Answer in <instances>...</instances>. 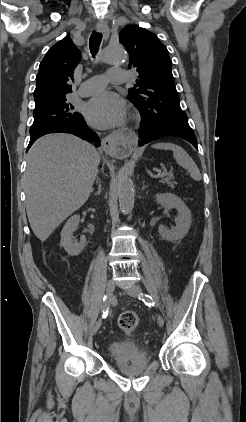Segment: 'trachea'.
Instances as JSON below:
<instances>
[{
    "label": "trachea",
    "mask_w": 246,
    "mask_h": 422,
    "mask_svg": "<svg viewBox=\"0 0 246 422\" xmlns=\"http://www.w3.org/2000/svg\"><path fill=\"white\" fill-rule=\"evenodd\" d=\"M101 40H102V34L99 32L93 31L89 40V47L93 56L98 52L100 44H101Z\"/></svg>",
    "instance_id": "3493384b"
}]
</instances>
